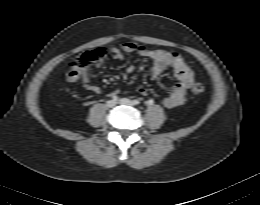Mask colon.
I'll list each match as a JSON object with an SVG mask.
<instances>
[{"instance_id": "obj_1", "label": "colon", "mask_w": 260, "mask_h": 205, "mask_svg": "<svg viewBox=\"0 0 260 205\" xmlns=\"http://www.w3.org/2000/svg\"><path fill=\"white\" fill-rule=\"evenodd\" d=\"M105 55H106V49L102 47L87 51L78 57L76 61V65L80 68H86L91 62L101 59ZM204 92H205V85L202 83L197 82L191 86V93L195 96H200L204 94Z\"/></svg>"}]
</instances>
